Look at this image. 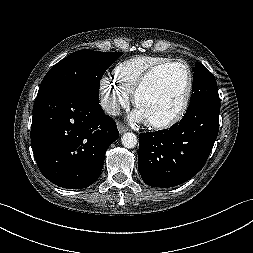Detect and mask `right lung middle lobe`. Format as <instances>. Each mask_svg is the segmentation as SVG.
<instances>
[{"label": "right lung middle lobe", "mask_w": 253, "mask_h": 253, "mask_svg": "<svg viewBox=\"0 0 253 253\" xmlns=\"http://www.w3.org/2000/svg\"><path fill=\"white\" fill-rule=\"evenodd\" d=\"M122 52L80 50L53 66L44 77L38 95L50 90L76 93L99 101L100 80Z\"/></svg>", "instance_id": "1"}]
</instances>
